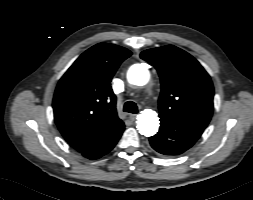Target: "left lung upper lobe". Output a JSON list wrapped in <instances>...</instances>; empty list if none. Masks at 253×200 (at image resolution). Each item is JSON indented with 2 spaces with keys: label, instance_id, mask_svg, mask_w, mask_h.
Segmentation results:
<instances>
[{
  "label": "left lung upper lobe",
  "instance_id": "1",
  "mask_svg": "<svg viewBox=\"0 0 253 200\" xmlns=\"http://www.w3.org/2000/svg\"><path fill=\"white\" fill-rule=\"evenodd\" d=\"M140 57L160 76L159 116L204 130L213 112L214 88L200 63L173 45L145 50Z\"/></svg>",
  "mask_w": 253,
  "mask_h": 200
}]
</instances>
